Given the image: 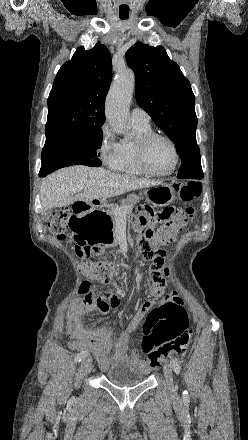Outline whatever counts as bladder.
I'll return each mask as SVG.
<instances>
[{
    "label": "bladder",
    "instance_id": "bladder-1",
    "mask_svg": "<svg viewBox=\"0 0 248 440\" xmlns=\"http://www.w3.org/2000/svg\"><path fill=\"white\" fill-rule=\"evenodd\" d=\"M147 372L125 363H119L106 370L105 378L115 386L127 387L143 382L147 377Z\"/></svg>",
    "mask_w": 248,
    "mask_h": 440
}]
</instances>
